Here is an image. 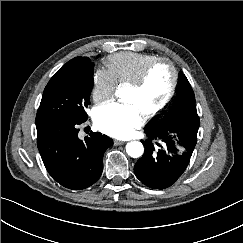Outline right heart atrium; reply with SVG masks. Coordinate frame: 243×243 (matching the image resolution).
<instances>
[{"label": "right heart atrium", "instance_id": "right-heart-atrium-1", "mask_svg": "<svg viewBox=\"0 0 243 243\" xmlns=\"http://www.w3.org/2000/svg\"><path fill=\"white\" fill-rule=\"evenodd\" d=\"M117 88L113 76L106 69L96 70L92 77L91 95L95 102H103L110 99Z\"/></svg>", "mask_w": 243, "mask_h": 243}]
</instances>
